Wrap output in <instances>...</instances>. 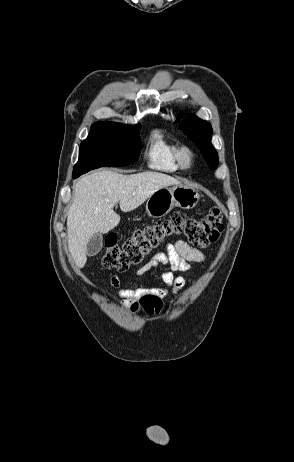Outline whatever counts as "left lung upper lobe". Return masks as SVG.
<instances>
[{
    "label": "left lung upper lobe",
    "mask_w": 294,
    "mask_h": 462,
    "mask_svg": "<svg viewBox=\"0 0 294 462\" xmlns=\"http://www.w3.org/2000/svg\"><path fill=\"white\" fill-rule=\"evenodd\" d=\"M179 127L188 136V138L193 140L199 147L207 164L212 169H216L219 160L218 154L211 144V125L196 116H192L181 122Z\"/></svg>",
    "instance_id": "1"
}]
</instances>
